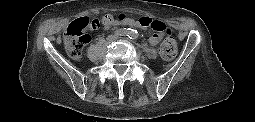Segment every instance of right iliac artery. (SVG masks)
<instances>
[{
    "mask_svg": "<svg viewBox=\"0 0 255 122\" xmlns=\"http://www.w3.org/2000/svg\"><path fill=\"white\" fill-rule=\"evenodd\" d=\"M116 35L118 36H129L131 34L130 29H119L115 32Z\"/></svg>",
    "mask_w": 255,
    "mask_h": 122,
    "instance_id": "1",
    "label": "right iliac artery"
}]
</instances>
